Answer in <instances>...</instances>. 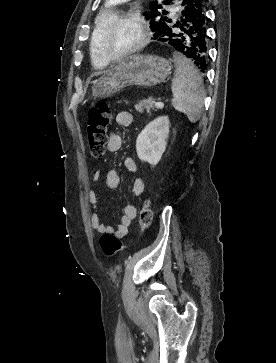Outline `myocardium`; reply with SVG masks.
<instances>
[{
	"instance_id": "myocardium-1",
	"label": "myocardium",
	"mask_w": 276,
	"mask_h": 363,
	"mask_svg": "<svg viewBox=\"0 0 276 363\" xmlns=\"http://www.w3.org/2000/svg\"><path fill=\"white\" fill-rule=\"evenodd\" d=\"M123 21L133 22L134 24H136L138 26L139 39L131 48H129L122 54L112 56L105 49L104 42H103L104 36L116 24L123 22ZM149 36H150V31H149L148 23L146 22L145 18L143 16H141L140 14L133 13V12H124V13L115 14L113 16V18L106 24L104 29L101 31V34L99 37V49H100L102 56L108 63L119 62V61H122V60L134 55L135 53L139 52L140 50H142L145 47V45L147 44V42L149 40Z\"/></svg>"
}]
</instances>
